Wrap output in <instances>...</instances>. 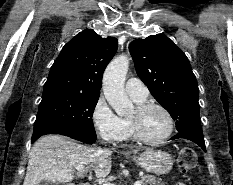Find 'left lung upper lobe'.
Segmentation results:
<instances>
[{
  "label": "left lung upper lobe",
  "instance_id": "5c2ea615",
  "mask_svg": "<svg viewBox=\"0 0 233 185\" xmlns=\"http://www.w3.org/2000/svg\"><path fill=\"white\" fill-rule=\"evenodd\" d=\"M135 69L154 98L176 120L179 132L200 126L199 89L186 55L157 34L129 45Z\"/></svg>",
  "mask_w": 233,
  "mask_h": 185
}]
</instances>
